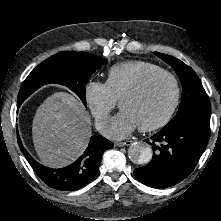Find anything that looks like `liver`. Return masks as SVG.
I'll return each mask as SVG.
<instances>
[{"label": "liver", "mask_w": 221, "mask_h": 221, "mask_svg": "<svg viewBox=\"0 0 221 221\" xmlns=\"http://www.w3.org/2000/svg\"><path fill=\"white\" fill-rule=\"evenodd\" d=\"M91 134L89 113L66 92L49 96L33 118L34 147L47 167L62 168L74 162L86 149Z\"/></svg>", "instance_id": "6515ba94"}]
</instances>
